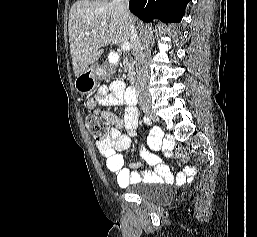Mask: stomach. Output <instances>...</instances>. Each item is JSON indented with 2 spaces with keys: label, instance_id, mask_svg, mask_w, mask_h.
Returning a JSON list of instances; mask_svg holds the SVG:
<instances>
[{
  "label": "stomach",
  "instance_id": "0dacf381",
  "mask_svg": "<svg viewBox=\"0 0 257 237\" xmlns=\"http://www.w3.org/2000/svg\"><path fill=\"white\" fill-rule=\"evenodd\" d=\"M104 74V70L98 65L90 66L86 71L76 77L74 86L75 89L82 94L92 92L96 85L97 80Z\"/></svg>",
  "mask_w": 257,
  "mask_h": 237
}]
</instances>
